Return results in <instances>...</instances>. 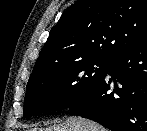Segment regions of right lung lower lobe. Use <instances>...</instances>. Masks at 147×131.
I'll list each match as a JSON object with an SVG mask.
<instances>
[{
	"mask_svg": "<svg viewBox=\"0 0 147 131\" xmlns=\"http://www.w3.org/2000/svg\"><path fill=\"white\" fill-rule=\"evenodd\" d=\"M108 72L68 109L112 131H147V38L112 58Z\"/></svg>",
	"mask_w": 147,
	"mask_h": 131,
	"instance_id": "98d812e1",
	"label": "right lung lower lobe"
}]
</instances>
